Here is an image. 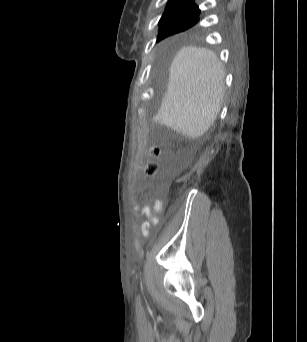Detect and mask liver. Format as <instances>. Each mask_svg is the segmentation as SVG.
Segmentation results:
<instances>
[{
    "instance_id": "liver-1",
    "label": "liver",
    "mask_w": 307,
    "mask_h": 342,
    "mask_svg": "<svg viewBox=\"0 0 307 342\" xmlns=\"http://www.w3.org/2000/svg\"><path fill=\"white\" fill-rule=\"evenodd\" d=\"M223 66L212 50L184 46L169 68L166 94L154 118L187 138L213 126L224 98Z\"/></svg>"
}]
</instances>
